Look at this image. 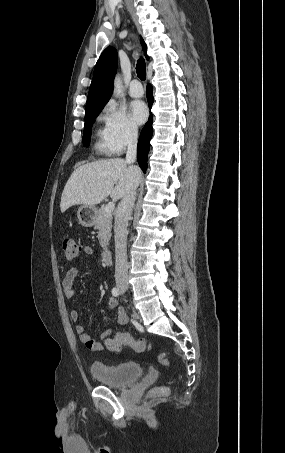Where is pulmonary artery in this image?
<instances>
[{"label":"pulmonary artery","mask_w":285,"mask_h":453,"mask_svg":"<svg viewBox=\"0 0 285 453\" xmlns=\"http://www.w3.org/2000/svg\"><path fill=\"white\" fill-rule=\"evenodd\" d=\"M128 92L131 97H134V98L142 97L144 94V91H143L140 81L137 79L132 80L129 85Z\"/></svg>","instance_id":"pulmonary-artery-1"}]
</instances>
